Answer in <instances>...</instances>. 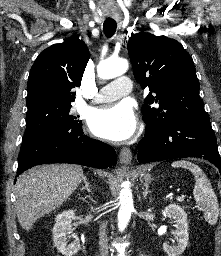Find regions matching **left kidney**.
Instances as JSON below:
<instances>
[{"mask_svg": "<svg viewBox=\"0 0 221 256\" xmlns=\"http://www.w3.org/2000/svg\"><path fill=\"white\" fill-rule=\"evenodd\" d=\"M165 212L167 216L172 218L176 223L175 236L177 238V245L170 246L164 243L163 249L168 256H180L188 245L189 240L187 214L184 209L177 204L166 206Z\"/></svg>", "mask_w": 221, "mask_h": 256, "instance_id": "obj_1", "label": "left kidney"}]
</instances>
